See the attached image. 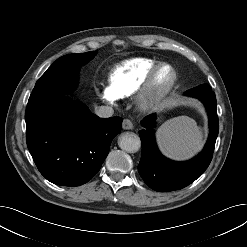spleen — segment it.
I'll use <instances>...</instances> for the list:
<instances>
[{"mask_svg": "<svg viewBox=\"0 0 247 247\" xmlns=\"http://www.w3.org/2000/svg\"><path fill=\"white\" fill-rule=\"evenodd\" d=\"M156 138L162 153L174 160L190 158L203 146L200 128L187 116L166 121L158 129Z\"/></svg>", "mask_w": 247, "mask_h": 247, "instance_id": "3e777b00", "label": "spleen"}]
</instances>
